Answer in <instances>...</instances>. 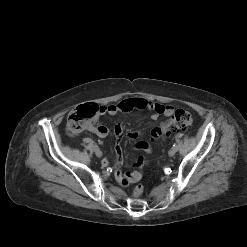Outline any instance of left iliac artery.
<instances>
[{
	"instance_id": "1",
	"label": "left iliac artery",
	"mask_w": 247,
	"mask_h": 247,
	"mask_svg": "<svg viewBox=\"0 0 247 247\" xmlns=\"http://www.w3.org/2000/svg\"><path fill=\"white\" fill-rule=\"evenodd\" d=\"M172 148H174V149H176V150H177V149H178L177 144H176V143H174Z\"/></svg>"
}]
</instances>
